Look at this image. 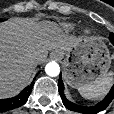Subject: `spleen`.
Masks as SVG:
<instances>
[{
	"instance_id": "3e777b00",
	"label": "spleen",
	"mask_w": 114,
	"mask_h": 114,
	"mask_svg": "<svg viewBox=\"0 0 114 114\" xmlns=\"http://www.w3.org/2000/svg\"><path fill=\"white\" fill-rule=\"evenodd\" d=\"M114 73L109 72L106 76L98 78L92 83H85L78 88L82 97L88 100H101L114 83Z\"/></svg>"
}]
</instances>
